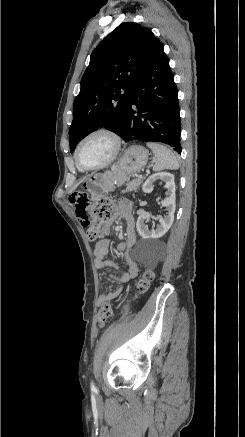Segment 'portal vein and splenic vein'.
<instances>
[{
  "label": "portal vein and splenic vein",
  "mask_w": 245,
  "mask_h": 437,
  "mask_svg": "<svg viewBox=\"0 0 245 437\" xmlns=\"http://www.w3.org/2000/svg\"><path fill=\"white\" fill-rule=\"evenodd\" d=\"M138 178H142V175H138Z\"/></svg>",
  "instance_id": "1"
}]
</instances>
